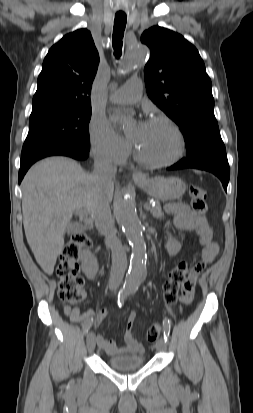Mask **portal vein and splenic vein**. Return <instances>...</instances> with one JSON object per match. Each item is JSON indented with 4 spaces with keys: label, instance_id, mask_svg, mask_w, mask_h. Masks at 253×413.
<instances>
[{
    "label": "portal vein and splenic vein",
    "instance_id": "18ae733b",
    "mask_svg": "<svg viewBox=\"0 0 253 413\" xmlns=\"http://www.w3.org/2000/svg\"><path fill=\"white\" fill-rule=\"evenodd\" d=\"M144 208L150 210V206L147 203L144 204ZM77 213L81 218H84L87 216V212L84 209H78Z\"/></svg>",
    "mask_w": 253,
    "mask_h": 413
}]
</instances>
